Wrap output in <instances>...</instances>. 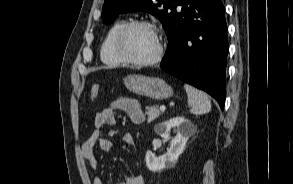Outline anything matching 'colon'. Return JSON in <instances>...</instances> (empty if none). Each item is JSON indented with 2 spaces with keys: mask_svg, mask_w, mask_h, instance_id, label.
<instances>
[{
  "mask_svg": "<svg viewBox=\"0 0 293 184\" xmlns=\"http://www.w3.org/2000/svg\"><path fill=\"white\" fill-rule=\"evenodd\" d=\"M100 92V85L99 84H94L92 87H91V91H90V98L92 101H94L98 94Z\"/></svg>",
  "mask_w": 293,
  "mask_h": 184,
  "instance_id": "1",
  "label": "colon"
}]
</instances>
